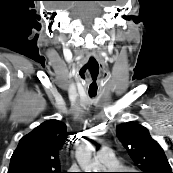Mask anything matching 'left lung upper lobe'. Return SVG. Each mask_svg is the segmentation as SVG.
Masks as SVG:
<instances>
[{
  "mask_svg": "<svg viewBox=\"0 0 173 173\" xmlns=\"http://www.w3.org/2000/svg\"><path fill=\"white\" fill-rule=\"evenodd\" d=\"M116 132L141 173H173L163 149L147 128L127 122L117 126Z\"/></svg>",
  "mask_w": 173,
  "mask_h": 173,
  "instance_id": "1",
  "label": "left lung upper lobe"
}]
</instances>
